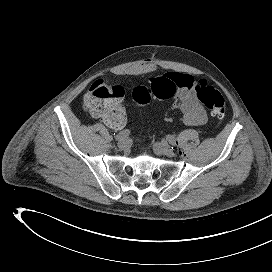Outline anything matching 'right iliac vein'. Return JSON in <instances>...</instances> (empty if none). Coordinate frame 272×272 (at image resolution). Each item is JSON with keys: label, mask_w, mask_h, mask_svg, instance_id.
Instances as JSON below:
<instances>
[{"label": "right iliac vein", "mask_w": 272, "mask_h": 272, "mask_svg": "<svg viewBox=\"0 0 272 272\" xmlns=\"http://www.w3.org/2000/svg\"><path fill=\"white\" fill-rule=\"evenodd\" d=\"M117 145H118V147H119L120 149H125V148L128 147L129 141H128V139H126V138H121V139L118 141Z\"/></svg>", "instance_id": "1"}]
</instances>
